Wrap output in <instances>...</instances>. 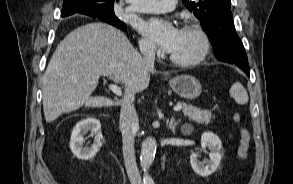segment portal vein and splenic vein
<instances>
[{"instance_id": "1", "label": "portal vein and splenic vein", "mask_w": 293, "mask_h": 184, "mask_svg": "<svg viewBox=\"0 0 293 184\" xmlns=\"http://www.w3.org/2000/svg\"><path fill=\"white\" fill-rule=\"evenodd\" d=\"M109 89L116 95L121 96L122 95V89L114 84L109 85ZM174 111H180L182 109L181 105H176L174 108Z\"/></svg>"}]
</instances>
